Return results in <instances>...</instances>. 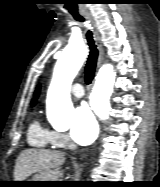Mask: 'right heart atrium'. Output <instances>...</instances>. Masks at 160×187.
<instances>
[{"label":"right heart atrium","mask_w":160,"mask_h":187,"mask_svg":"<svg viewBox=\"0 0 160 187\" xmlns=\"http://www.w3.org/2000/svg\"><path fill=\"white\" fill-rule=\"evenodd\" d=\"M51 133H52V143L55 147L65 148L70 146L69 138L66 134L56 131H53Z\"/></svg>","instance_id":"obj_1"}]
</instances>
